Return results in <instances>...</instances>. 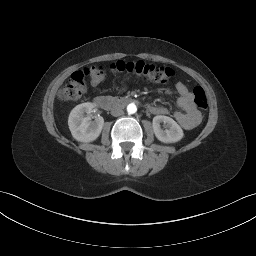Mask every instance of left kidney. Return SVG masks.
I'll list each match as a JSON object with an SVG mask.
<instances>
[{
	"label": "left kidney",
	"instance_id": "5707ae66",
	"mask_svg": "<svg viewBox=\"0 0 256 256\" xmlns=\"http://www.w3.org/2000/svg\"><path fill=\"white\" fill-rule=\"evenodd\" d=\"M161 123L166 129L161 128ZM153 131L156 138L163 143H175L183 138L182 128L172 118L158 115L153 118Z\"/></svg>",
	"mask_w": 256,
	"mask_h": 256
}]
</instances>
